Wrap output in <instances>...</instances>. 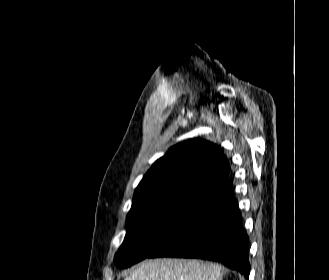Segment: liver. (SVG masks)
<instances>
[{"label": "liver", "instance_id": "obj_1", "mask_svg": "<svg viewBox=\"0 0 329 280\" xmlns=\"http://www.w3.org/2000/svg\"><path fill=\"white\" fill-rule=\"evenodd\" d=\"M124 280H222V267L190 259L143 261Z\"/></svg>", "mask_w": 329, "mask_h": 280}]
</instances>
